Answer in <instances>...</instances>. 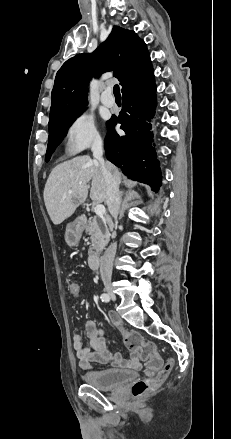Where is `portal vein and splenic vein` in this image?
<instances>
[{
  "mask_svg": "<svg viewBox=\"0 0 231 439\" xmlns=\"http://www.w3.org/2000/svg\"><path fill=\"white\" fill-rule=\"evenodd\" d=\"M68 193L71 194L72 191L69 190ZM94 212H95V214L98 215V216H103V215L105 214V212H106V209H105V207H104L103 205H101V204H97V205L95 206V208H94Z\"/></svg>",
  "mask_w": 231,
  "mask_h": 439,
  "instance_id": "18ae733b",
  "label": "portal vein and splenic vein"
}]
</instances>
